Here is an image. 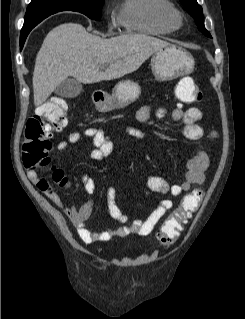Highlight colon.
Masks as SVG:
<instances>
[{
    "label": "colon",
    "mask_w": 245,
    "mask_h": 319,
    "mask_svg": "<svg viewBox=\"0 0 245 319\" xmlns=\"http://www.w3.org/2000/svg\"><path fill=\"white\" fill-rule=\"evenodd\" d=\"M177 97L182 103H191L202 98V92L195 86H178ZM68 105L62 99L51 100L41 106L39 114L31 116L26 123L22 144V162L29 171L50 168V178L40 179L38 187L43 191H54L55 185L64 187L67 179L62 170L51 166L50 141L53 133L67 124ZM202 189L188 193L177 209L165 221L157 240L162 245L172 244L179 235L183 224L192 216L203 200Z\"/></svg>",
    "instance_id": "obj_1"
}]
</instances>
